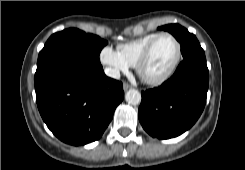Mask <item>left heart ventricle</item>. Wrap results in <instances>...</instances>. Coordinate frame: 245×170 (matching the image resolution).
Returning <instances> with one entry per match:
<instances>
[{
    "label": "left heart ventricle",
    "mask_w": 245,
    "mask_h": 170,
    "mask_svg": "<svg viewBox=\"0 0 245 170\" xmlns=\"http://www.w3.org/2000/svg\"><path fill=\"white\" fill-rule=\"evenodd\" d=\"M176 52L177 47L172 38H160L143 66V73L150 78L159 77L170 67Z\"/></svg>",
    "instance_id": "obj_1"
}]
</instances>
